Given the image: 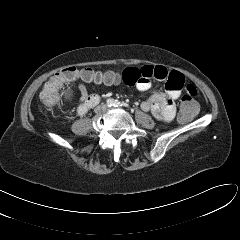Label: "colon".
Listing matches in <instances>:
<instances>
[{
	"label": "colon",
	"instance_id": "1",
	"mask_svg": "<svg viewBox=\"0 0 240 240\" xmlns=\"http://www.w3.org/2000/svg\"><path fill=\"white\" fill-rule=\"evenodd\" d=\"M100 75L92 69H77L75 67H68L59 73L55 74L43 87L41 92V99L45 106L49 109L55 107L59 102L58 87L65 82L82 79L84 81L92 82ZM198 111L196 102L190 95H184L181 99L179 119L182 122L192 120Z\"/></svg>",
	"mask_w": 240,
	"mask_h": 240
}]
</instances>
